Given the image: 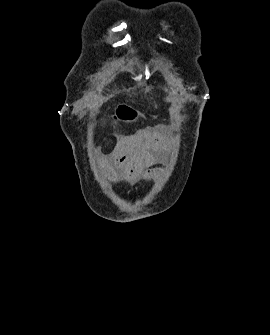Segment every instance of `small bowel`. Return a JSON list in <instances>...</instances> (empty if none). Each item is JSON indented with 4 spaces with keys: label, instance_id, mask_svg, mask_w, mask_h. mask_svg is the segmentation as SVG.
Returning a JSON list of instances; mask_svg holds the SVG:
<instances>
[{
    "label": "small bowel",
    "instance_id": "small-bowel-1",
    "mask_svg": "<svg viewBox=\"0 0 270 335\" xmlns=\"http://www.w3.org/2000/svg\"><path fill=\"white\" fill-rule=\"evenodd\" d=\"M168 135L167 127L155 126L126 137L103 159L104 172L111 180L129 185L154 181L160 174L154 166L165 159Z\"/></svg>",
    "mask_w": 270,
    "mask_h": 335
}]
</instances>
